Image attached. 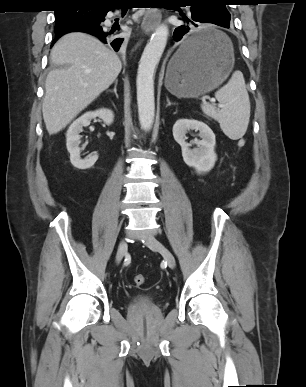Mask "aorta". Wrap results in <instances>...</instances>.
I'll return each mask as SVG.
<instances>
[{
  "label": "aorta",
  "instance_id": "aorta-1",
  "mask_svg": "<svg viewBox=\"0 0 306 387\" xmlns=\"http://www.w3.org/2000/svg\"><path fill=\"white\" fill-rule=\"evenodd\" d=\"M169 30L164 24L152 34L142 53L137 71V105L140 126L148 131L155 116L154 76L167 44Z\"/></svg>",
  "mask_w": 306,
  "mask_h": 387
}]
</instances>
